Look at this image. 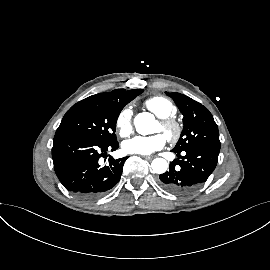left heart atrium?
Masks as SVG:
<instances>
[{
  "label": "left heart atrium",
  "mask_w": 270,
  "mask_h": 270,
  "mask_svg": "<svg viewBox=\"0 0 270 270\" xmlns=\"http://www.w3.org/2000/svg\"><path fill=\"white\" fill-rule=\"evenodd\" d=\"M166 144V137L163 134L151 136H135L123 143V149L130 154L150 155L161 150Z\"/></svg>",
  "instance_id": "left-heart-atrium-1"
}]
</instances>
